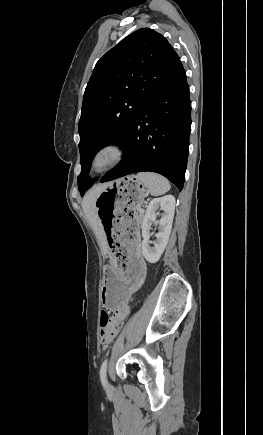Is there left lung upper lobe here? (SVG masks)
Here are the masks:
<instances>
[{
  "mask_svg": "<svg viewBox=\"0 0 263 435\" xmlns=\"http://www.w3.org/2000/svg\"><path fill=\"white\" fill-rule=\"evenodd\" d=\"M180 63L168 41L149 28L133 32L96 63L78 124L81 196L95 182L87 176L97 151L111 142L124 144L146 102Z\"/></svg>",
  "mask_w": 263,
  "mask_h": 435,
  "instance_id": "5c2ea615",
  "label": "left lung upper lobe"
}]
</instances>
